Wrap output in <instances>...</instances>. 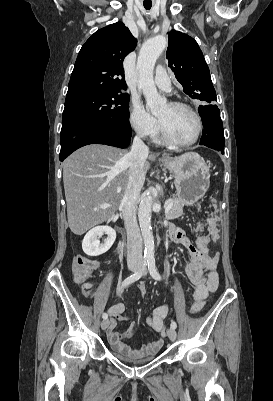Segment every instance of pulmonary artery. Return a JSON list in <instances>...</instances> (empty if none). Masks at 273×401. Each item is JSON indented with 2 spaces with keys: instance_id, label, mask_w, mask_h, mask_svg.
Here are the masks:
<instances>
[{
  "instance_id": "pulmonary-artery-1",
  "label": "pulmonary artery",
  "mask_w": 273,
  "mask_h": 401,
  "mask_svg": "<svg viewBox=\"0 0 273 401\" xmlns=\"http://www.w3.org/2000/svg\"><path fill=\"white\" fill-rule=\"evenodd\" d=\"M156 74L158 75L157 77V83L156 86L158 89H164L167 91L171 90L172 87V82L170 81L169 77V71L167 68H161V66H158V70L156 71Z\"/></svg>"
}]
</instances>
